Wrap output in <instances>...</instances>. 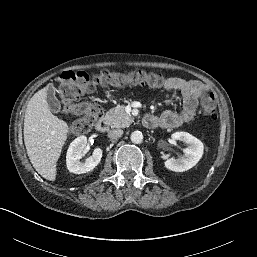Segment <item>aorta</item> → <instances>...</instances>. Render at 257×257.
<instances>
[{"label":"aorta","mask_w":257,"mask_h":257,"mask_svg":"<svg viewBox=\"0 0 257 257\" xmlns=\"http://www.w3.org/2000/svg\"><path fill=\"white\" fill-rule=\"evenodd\" d=\"M130 139L134 144H140L143 141V134L140 131H134L132 132Z\"/></svg>","instance_id":"aorta-1"}]
</instances>
